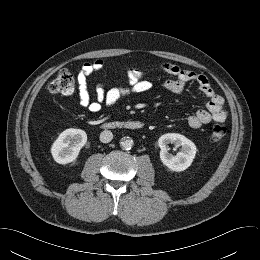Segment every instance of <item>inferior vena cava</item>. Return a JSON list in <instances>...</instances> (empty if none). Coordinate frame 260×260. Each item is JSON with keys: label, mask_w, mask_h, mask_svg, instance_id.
Returning a JSON list of instances; mask_svg holds the SVG:
<instances>
[{"label": "inferior vena cava", "mask_w": 260, "mask_h": 260, "mask_svg": "<svg viewBox=\"0 0 260 260\" xmlns=\"http://www.w3.org/2000/svg\"><path fill=\"white\" fill-rule=\"evenodd\" d=\"M113 139V134L109 130H104L100 134V141L103 143H108Z\"/></svg>", "instance_id": "inferior-vena-cava-1"}]
</instances>
